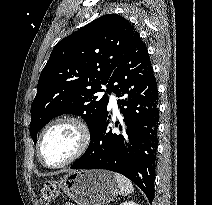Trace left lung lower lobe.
<instances>
[{
  "mask_svg": "<svg viewBox=\"0 0 212 205\" xmlns=\"http://www.w3.org/2000/svg\"><path fill=\"white\" fill-rule=\"evenodd\" d=\"M107 91L121 97L117 101L123 116L121 132L108 126L111 115L106 110L91 133L86 152L71 169L120 173L142 189L151 203L158 145V90L149 54L138 33L109 78Z\"/></svg>",
  "mask_w": 212,
  "mask_h": 205,
  "instance_id": "obj_1",
  "label": "left lung lower lobe"
}]
</instances>
